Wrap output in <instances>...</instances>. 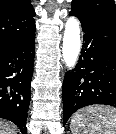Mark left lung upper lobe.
<instances>
[{"label":"left lung upper lobe","mask_w":116,"mask_h":134,"mask_svg":"<svg viewBox=\"0 0 116 134\" xmlns=\"http://www.w3.org/2000/svg\"><path fill=\"white\" fill-rule=\"evenodd\" d=\"M71 12L81 17L116 23V5L113 0H73Z\"/></svg>","instance_id":"obj_1"}]
</instances>
